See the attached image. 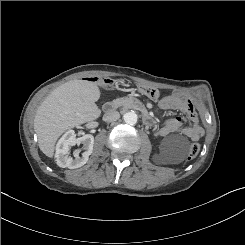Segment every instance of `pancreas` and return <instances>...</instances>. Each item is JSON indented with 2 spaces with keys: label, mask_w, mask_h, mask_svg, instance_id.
<instances>
[{
  "label": "pancreas",
  "mask_w": 245,
  "mask_h": 245,
  "mask_svg": "<svg viewBox=\"0 0 245 245\" xmlns=\"http://www.w3.org/2000/svg\"><path fill=\"white\" fill-rule=\"evenodd\" d=\"M115 107H122L123 109H138L142 107V103L134 98H118L112 103Z\"/></svg>",
  "instance_id": "cf45deb5"
}]
</instances>
